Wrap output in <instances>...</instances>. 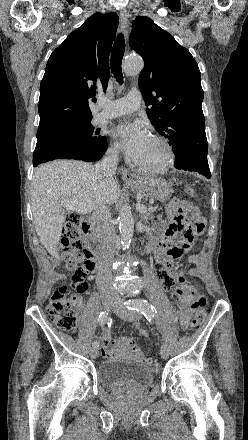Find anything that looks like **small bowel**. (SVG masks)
I'll return each mask as SVG.
<instances>
[{"instance_id": "1", "label": "small bowel", "mask_w": 248, "mask_h": 440, "mask_svg": "<svg viewBox=\"0 0 248 440\" xmlns=\"http://www.w3.org/2000/svg\"><path fill=\"white\" fill-rule=\"evenodd\" d=\"M175 207L176 210L171 212L169 225L165 228L158 226L155 229L153 246L156 258L153 260V268L157 271V277L165 289H170L173 283L179 284L176 289V296L180 302L177 326L179 331H188L190 312L195 309L194 301L198 294L193 287L187 284L184 275L174 270L173 261L186 254L191 249L195 236L202 232L197 233L190 228L188 212L192 209V206L189 203H177ZM177 235H182V238L180 241L174 242L173 238ZM199 259L198 255H191L188 261L196 264ZM189 274L195 276L197 269H190ZM135 326L138 327V323H135ZM101 343V355L104 359L111 360L124 356L139 359L146 363L150 362L149 359L142 357L140 349L130 337L124 336L111 343L109 330L105 329L101 336Z\"/></svg>"}]
</instances>
